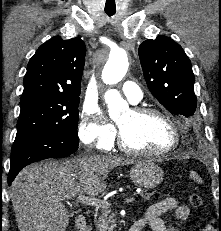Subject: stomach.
<instances>
[{"label": "stomach", "instance_id": "0dacf381", "mask_svg": "<svg viewBox=\"0 0 221 231\" xmlns=\"http://www.w3.org/2000/svg\"><path fill=\"white\" fill-rule=\"evenodd\" d=\"M163 170L152 160L137 161L130 169L131 180L139 187L155 188L163 180Z\"/></svg>", "mask_w": 221, "mask_h": 231}]
</instances>
